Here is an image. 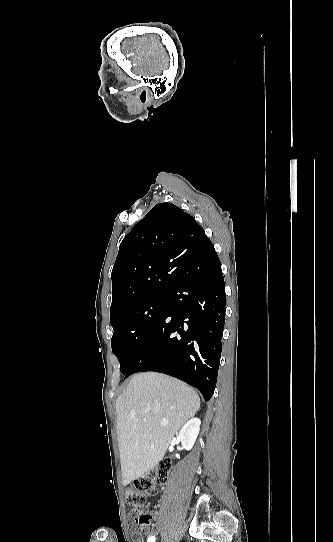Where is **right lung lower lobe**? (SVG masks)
<instances>
[{
	"instance_id": "right-lung-lower-lobe-1",
	"label": "right lung lower lobe",
	"mask_w": 333,
	"mask_h": 542,
	"mask_svg": "<svg viewBox=\"0 0 333 542\" xmlns=\"http://www.w3.org/2000/svg\"><path fill=\"white\" fill-rule=\"evenodd\" d=\"M183 279L168 292L164 315L125 378L162 372L196 387L209 400L216 387L225 321V285L212 243L175 254Z\"/></svg>"
}]
</instances>
